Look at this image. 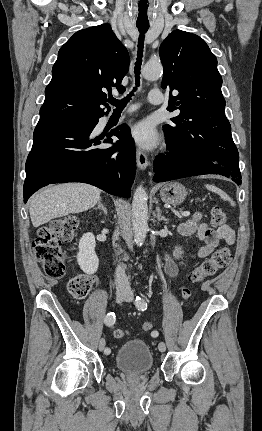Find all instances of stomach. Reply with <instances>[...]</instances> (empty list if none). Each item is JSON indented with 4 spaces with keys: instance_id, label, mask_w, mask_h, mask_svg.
Here are the masks:
<instances>
[{
    "instance_id": "obj_1",
    "label": "stomach",
    "mask_w": 262,
    "mask_h": 431,
    "mask_svg": "<svg viewBox=\"0 0 262 431\" xmlns=\"http://www.w3.org/2000/svg\"><path fill=\"white\" fill-rule=\"evenodd\" d=\"M160 196L163 202L178 205L185 200L187 190L178 182H170L161 188Z\"/></svg>"
}]
</instances>
